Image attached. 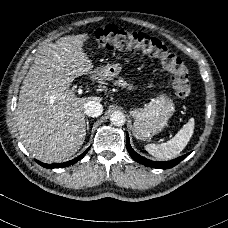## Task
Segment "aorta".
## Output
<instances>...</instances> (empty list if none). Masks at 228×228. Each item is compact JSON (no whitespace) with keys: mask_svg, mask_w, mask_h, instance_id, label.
<instances>
[{"mask_svg":"<svg viewBox=\"0 0 228 228\" xmlns=\"http://www.w3.org/2000/svg\"><path fill=\"white\" fill-rule=\"evenodd\" d=\"M110 121L115 126H122L125 124L126 117L123 112L115 111L111 114Z\"/></svg>","mask_w":228,"mask_h":228,"instance_id":"762f6f07","label":"aorta"}]
</instances>
